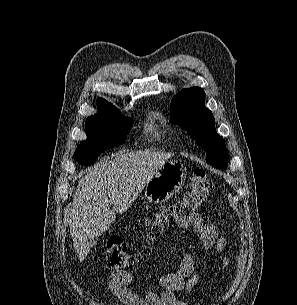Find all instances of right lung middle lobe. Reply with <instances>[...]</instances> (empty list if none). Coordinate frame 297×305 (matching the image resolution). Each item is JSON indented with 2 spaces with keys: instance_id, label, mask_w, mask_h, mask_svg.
Masks as SVG:
<instances>
[{
  "instance_id": "right-lung-middle-lobe-1",
  "label": "right lung middle lobe",
  "mask_w": 297,
  "mask_h": 305,
  "mask_svg": "<svg viewBox=\"0 0 297 305\" xmlns=\"http://www.w3.org/2000/svg\"><path fill=\"white\" fill-rule=\"evenodd\" d=\"M131 124L117 108L88 117L85 123L88 138L77 147L75 159L84 166L93 164L102 152L125 142Z\"/></svg>"
}]
</instances>
